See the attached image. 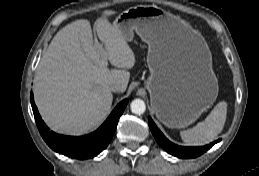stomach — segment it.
Listing matches in <instances>:
<instances>
[{"label": "stomach", "instance_id": "obj_1", "mask_svg": "<svg viewBox=\"0 0 259 176\" xmlns=\"http://www.w3.org/2000/svg\"><path fill=\"white\" fill-rule=\"evenodd\" d=\"M113 25L126 41L136 32L148 44L146 88L157 118L170 128L194 123L216 100L210 52L187 23L157 6H135Z\"/></svg>", "mask_w": 259, "mask_h": 176}]
</instances>
